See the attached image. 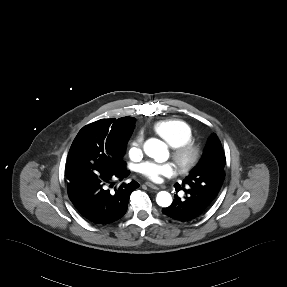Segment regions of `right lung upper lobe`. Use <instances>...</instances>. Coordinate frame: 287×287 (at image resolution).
Segmentation results:
<instances>
[{"instance_id": "right-lung-upper-lobe-1", "label": "right lung upper lobe", "mask_w": 287, "mask_h": 287, "mask_svg": "<svg viewBox=\"0 0 287 287\" xmlns=\"http://www.w3.org/2000/svg\"><path fill=\"white\" fill-rule=\"evenodd\" d=\"M135 119L124 117L119 119H101L87 125L94 134L107 143L123 142L129 139L134 129Z\"/></svg>"}]
</instances>
